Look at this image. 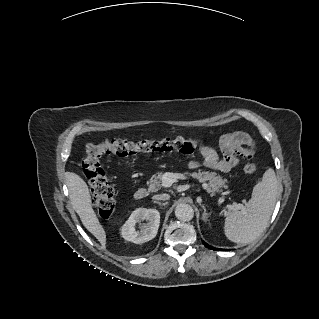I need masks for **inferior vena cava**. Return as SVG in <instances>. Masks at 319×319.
Here are the masks:
<instances>
[{"mask_svg":"<svg viewBox=\"0 0 319 319\" xmlns=\"http://www.w3.org/2000/svg\"><path fill=\"white\" fill-rule=\"evenodd\" d=\"M170 196L168 194H158L152 197L156 202L168 200Z\"/></svg>","mask_w":319,"mask_h":319,"instance_id":"1","label":"inferior vena cava"}]
</instances>
